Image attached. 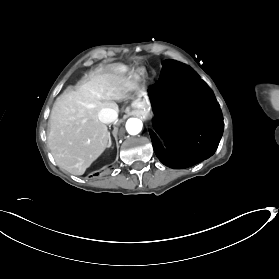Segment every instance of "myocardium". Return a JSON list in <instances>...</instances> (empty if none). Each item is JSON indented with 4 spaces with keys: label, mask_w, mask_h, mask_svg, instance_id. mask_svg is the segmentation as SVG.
I'll return each instance as SVG.
<instances>
[{
    "label": "myocardium",
    "mask_w": 279,
    "mask_h": 279,
    "mask_svg": "<svg viewBox=\"0 0 279 279\" xmlns=\"http://www.w3.org/2000/svg\"><path fill=\"white\" fill-rule=\"evenodd\" d=\"M138 74L141 76V75H144L145 74V69L144 68H140L138 69Z\"/></svg>",
    "instance_id": "myocardium-1"
}]
</instances>
